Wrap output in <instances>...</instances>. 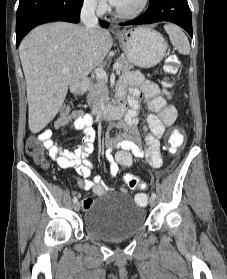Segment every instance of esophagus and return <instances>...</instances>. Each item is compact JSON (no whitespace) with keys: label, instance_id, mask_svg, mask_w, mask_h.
Returning a JSON list of instances; mask_svg holds the SVG:
<instances>
[{"label":"esophagus","instance_id":"obj_1","mask_svg":"<svg viewBox=\"0 0 227 279\" xmlns=\"http://www.w3.org/2000/svg\"><path fill=\"white\" fill-rule=\"evenodd\" d=\"M112 29L115 31L116 30V28L115 27H112Z\"/></svg>","mask_w":227,"mask_h":279}]
</instances>
